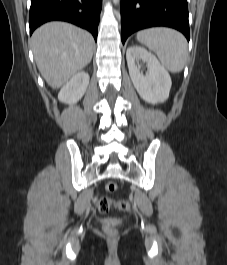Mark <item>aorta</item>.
I'll return each instance as SVG.
<instances>
[{"mask_svg": "<svg viewBox=\"0 0 227 265\" xmlns=\"http://www.w3.org/2000/svg\"><path fill=\"white\" fill-rule=\"evenodd\" d=\"M119 1H120V0H113V3H114L115 5H117V4L119 3Z\"/></svg>", "mask_w": 227, "mask_h": 265, "instance_id": "1", "label": "aorta"}]
</instances>
